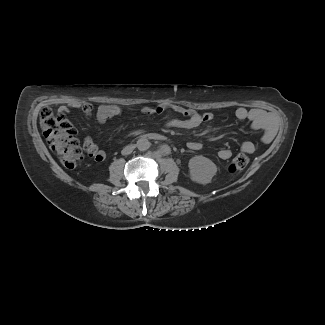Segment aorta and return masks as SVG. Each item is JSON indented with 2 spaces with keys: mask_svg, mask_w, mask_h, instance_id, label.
Wrapping results in <instances>:
<instances>
[{
  "mask_svg": "<svg viewBox=\"0 0 325 325\" xmlns=\"http://www.w3.org/2000/svg\"><path fill=\"white\" fill-rule=\"evenodd\" d=\"M136 145L139 151H146L150 148L151 143L147 138H140Z\"/></svg>",
  "mask_w": 325,
  "mask_h": 325,
  "instance_id": "1",
  "label": "aorta"
}]
</instances>
